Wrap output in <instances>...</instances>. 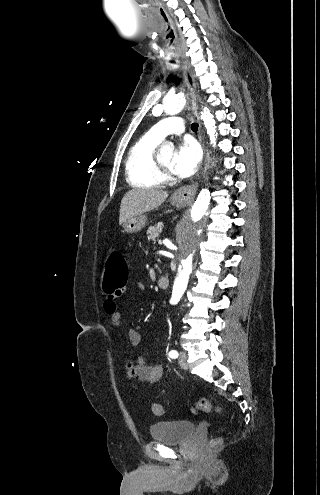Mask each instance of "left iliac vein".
<instances>
[{
	"label": "left iliac vein",
	"mask_w": 320,
	"mask_h": 495,
	"mask_svg": "<svg viewBox=\"0 0 320 495\" xmlns=\"http://www.w3.org/2000/svg\"><path fill=\"white\" fill-rule=\"evenodd\" d=\"M187 358H188L187 354L184 351H180L178 362H179L180 367L184 370L188 369Z\"/></svg>",
	"instance_id": "left-iliac-vein-1"
}]
</instances>
